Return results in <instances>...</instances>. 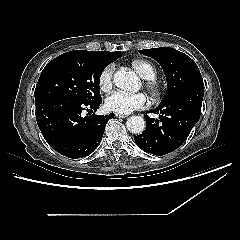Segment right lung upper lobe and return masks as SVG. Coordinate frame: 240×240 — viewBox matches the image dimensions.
Returning <instances> with one entry per match:
<instances>
[{"mask_svg": "<svg viewBox=\"0 0 240 240\" xmlns=\"http://www.w3.org/2000/svg\"><path fill=\"white\" fill-rule=\"evenodd\" d=\"M104 52V54L110 55V56H118L121 52H109V51H101Z\"/></svg>", "mask_w": 240, "mask_h": 240, "instance_id": "1", "label": "right lung upper lobe"}]
</instances>
